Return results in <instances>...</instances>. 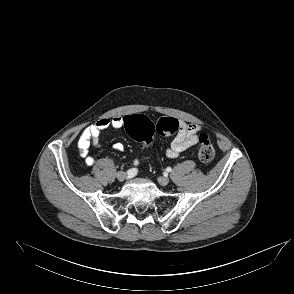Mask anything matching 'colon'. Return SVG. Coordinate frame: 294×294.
<instances>
[{
    "instance_id": "obj_1",
    "label": "colon",
    "mask_w": 294,
    "mask_h": 294,
    "mask_svg": "<svg viewBox=\"0 0 294 294\" xmlns=\"http://www.w3.org/2000/svg\"><path fill=\"white\" fill-rule=\"evenodd\" d=\"M124 127L129 136L136 141L149 147L155 133L160 135H170L178 130L179 123L171 117H162L156 123H153L146 116L141 114L129 115L124 117ZM198 158L203 163L211 162L215 157V149L209 137L206 134L198 136Z\"/></svg>"
}]
</instances>
